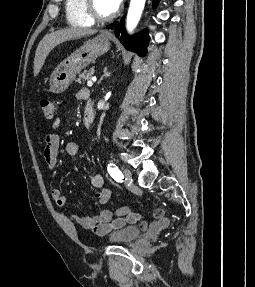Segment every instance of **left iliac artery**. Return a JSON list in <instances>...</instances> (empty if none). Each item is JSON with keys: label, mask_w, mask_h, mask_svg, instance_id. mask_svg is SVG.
<instances>
[{"label": "left iliac artery", "mask_w": 255, "mask_h": 287, "mask_svg": "<svg viewBox=\"0 0 255 287\" xmlns=\"http://www.w3.org/2000/svg\"><path fill=\"white\" fill-rule=\"evenodd\" d=\"M108 173L117 182H123L124 176L121 170L114 164L110 163L108 165Z\"/></svg>", "instance_id": "1"}]
</instances>
